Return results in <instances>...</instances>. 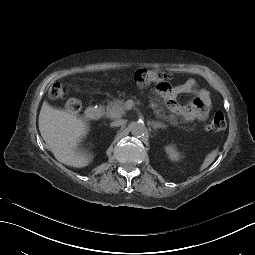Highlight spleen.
Masks as SVG:
<instances>
[{"instance_id": "1", "label": "spleen", "mask_w": 255, "mask_h": 255, "mask_svg": "<svg viewBox=\"0 0 255 255\" xmlns=\"http://www.w3.org/2000/svg\"><path fill=\"white\" fill-rule=\"evenodd\" d=\"M217 156V151L214 150L212 151L210 154H208L203 162V164L201 165L200 170H204L205 168H207L215 159V157Z\"/></svg>"}]
</instances>
